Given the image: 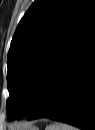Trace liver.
<instances>
[{
	"instance_id": "1",
	"label": "liver",
	"mask_w": 95,
	"mask_h": 130,
	"mask_svg": "<svg viewBox=\"0 0 95 130\" xmlns=\"http://www.w3.org/2000/svg\"><path fill=\"white\" fill-rule=\"evenodd\" d=\"M30 127H31V125H24V126H17V127H15V129L16 130H26Z\"/></svg>"
}]
</instances>
